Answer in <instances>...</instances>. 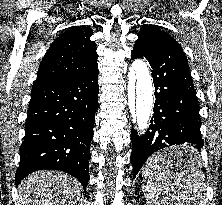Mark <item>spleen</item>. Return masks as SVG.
<instances>
[{
    "mask_svg": "<svg viewBox=\"0 0 222 205\" xmlns=\"http://www.w3.org/2000/svg\"><path fill=\"white\" fill-rule=\"evenodd\" d=\"M142 179L149 205H208L200 168L185 171L172 158L157 153L143 166Z\"/></svg>",
    "mask_w": 222,
    "mask_h": 205,
    "instance_id": "obj_1",
    "label": "spleen"
}]
</instances>
